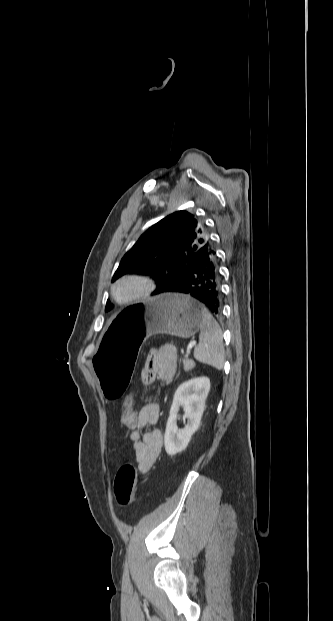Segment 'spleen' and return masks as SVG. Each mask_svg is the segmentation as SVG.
<instances>
[{
	"instance_id": "spleen-1",
	"label": "spleen",
	"mask_w": 333,
	"mask_h": 621,
	"mask_svg": "<svg viewBox=\"0 0 333 621\" xmlns=\"http://www.w3.org/2000/svg\"><path fill=\"white\" fill-rule=\"evenodd\" d=\"M224 352L221 328L206 310L200 326L199 344L195 348L194 358L202 364L221 370L225 362Z\"/></svg>"
}]
</instances>
